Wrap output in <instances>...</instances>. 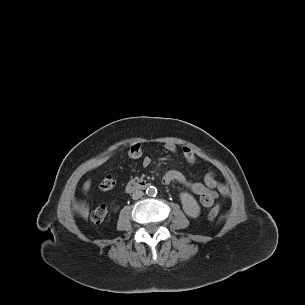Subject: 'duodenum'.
<instances>
[{
  "instance_id": "obj_1",
  "label": "duodenum",
  "mask_w": 305,
  "mask_h": 305,
  "mask_svg": "<svg viewBox=\"0 0 305 305\" xmlns=\"http://www.w3.org/2000/svg\"><path fill=\"white\" fill-rule=\"evenodd\" d=\"M150 185H151V182L149 180L143 179V178H136V179L130 180L127 183L125 190H126V192L131 193L136 190L146 189Z\"/></svg>"
}]
</instances>
